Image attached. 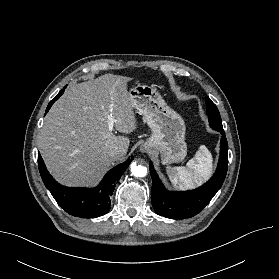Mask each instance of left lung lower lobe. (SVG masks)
Returning <instances> with one entry per match:
<instances>
[{
  "label": "left lung lower lobe",
  "mask_w": 279,
  "mask_h": 279,
  "mask_svg": "<svg viewBox=\"0 0 279 279\" xmlns=\"http://www.w3.org/2000/svg\"><path fill=\"white\" fill-rule=\"evenodd\" d=\"M220 142V158L213 177L203 186L184 192H169L158 178L150 162L152 177V205L155 212L166 218L184 219L198 214L222 186L228 168V143L224 130Z\"/></svg>",
  "instance_id": "0a47b994"
}]
</instances>
